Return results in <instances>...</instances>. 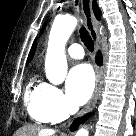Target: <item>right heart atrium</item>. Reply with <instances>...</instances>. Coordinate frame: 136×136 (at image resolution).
<instances>
[{
  "mask_svg": "<svg viewBox=\"0 0 136 136\" xmlns=\"http://www.w3.org/2000/svg\"><path fill=\"white\" fill-rule=\"evenodd\" d=\"M41 100L52 121L63 120L72 110L63 92L51 84H43Z\"/></svg>",
  "mask_w": 136,
  "mask_h": 136,
  "instance_id": "right-heart-atrium-1",
  "label": "right heart atrium"
}]
</instances>
